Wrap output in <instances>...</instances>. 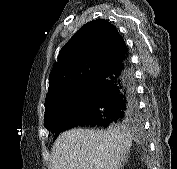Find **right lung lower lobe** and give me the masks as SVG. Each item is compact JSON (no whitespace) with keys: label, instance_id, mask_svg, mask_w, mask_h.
Returning <instances> with one entry per match:
<instances>
[{"label":"right lung lower lobe","instance_id":"1","mask_svg":"<svg viewBox=\"0 0 177 169\" xmlns=\"http://www.w3.org/2000/svg\"><path fill=\"white\" fill-rule=\"evenodd\" d=\"M95 92L90 104L59 127L54 136L77 126H104L139 117L134 71L128 52L109 64L93 79Z\"/></svg>","mask_w":177,"mask_h":169}]
</instances>
